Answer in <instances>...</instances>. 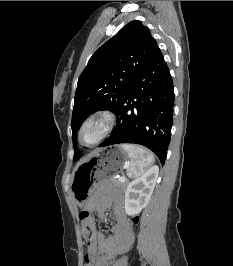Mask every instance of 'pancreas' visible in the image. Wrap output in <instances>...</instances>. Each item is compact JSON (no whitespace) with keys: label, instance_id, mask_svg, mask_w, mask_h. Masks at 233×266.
Here are the masks:
<instances>
[{"label":"pancreas","instance_id":"cf45deb5","mask_svg":"<svg viewBox=\"0 0 233 266\" xmlns=\"http://www.w3.org/2000/svg\"><path fill=\"white\" fill-rule=\"evenodd\" d=\"M113 183L120 186V187H126L128 181L120 182L119 179L113 178L112 179Z\"/></svg>","mask_w":233,"mask_h":266}]
</instances>
